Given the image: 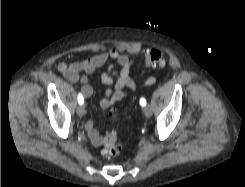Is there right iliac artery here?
I'll return each mask as SVG.
<instances>
[{
    "label": "right iliac artery",
    "mask_w": 245,
    "mask_h": 187,
    "mask_svg": "<svg viewBox=\"0 0 245 187\" xmlns=\"http://www.w3.org/2000/svg\"><path fill=\"white\" fill-rule=\"evenodd\" d=\"M78 103L82 105L84 103V98L81 93L78 94Z\"/></svg>",
    "instance_id": "82829eb1"
}]
</instances>
